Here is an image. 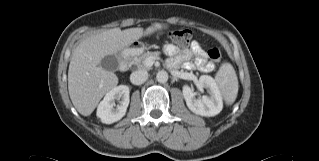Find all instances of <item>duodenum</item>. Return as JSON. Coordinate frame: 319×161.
Returning a JSON list of instances; mask_svg holds the SVG:
<instances>
[{
  "label": "duodenum",
  "instance_id": "1",
  "mask_svg": "<svg viewBox=\"0 0 319 161\" xmlns=\"http://www.w3.org/2000/svg\"><path fill=\"white\" fill-rule=\"evenodd\" d=\"M129 59H130L129 51L123 52L120 55V58H119L120 69H124L128 66Z\"/></svg>",
  "mask_w": 319,
  "mask_h": 161
}]
</instances>
